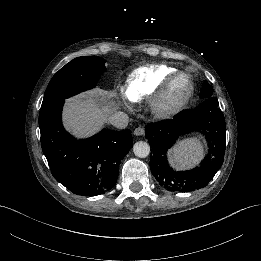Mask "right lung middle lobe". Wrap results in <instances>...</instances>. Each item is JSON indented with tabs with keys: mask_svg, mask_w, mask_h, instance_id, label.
Wrapping results in <instances>:
<instances>
[{
	"mask_svg": "<svg viewBox=\"0 0 261 261\" xmlns=\"http://www.w3.org/2000/svg\"><path fill=\"white\" fill-rule=\"evenodd\" d=\"M105 62V59L97 56H84L67 63L51 79L42 106L94 88L105 71Z\"/></svg>",
	"mask_w": 261,
	"mask_h": 261,
	"instance_id": "dd1d6c3e",
	"label": "right lung middle lobe"
}]
</instances>
